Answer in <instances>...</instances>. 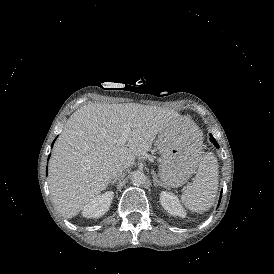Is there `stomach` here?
Returning <instances> with one entry per match:
<instances>
[{"label": "stomach", "mask_w": 274, "mask_h": 274, "mask_svg": "<svg viewBox=\"0 0 274 274\" xmlns=\"http://www.w3.org/2000/svg\"><path fill=\"white\" fill-rule=\"evenodd\" d=\"M170 133V136H158L157 148L161 153L159 177L163 186L179 187L196 170L194 153L201 150L202 141L198 127L188 119H184L182 126L173 127Z\"/></svg>", "instance_id": "stomach-1"}]
</instances>
